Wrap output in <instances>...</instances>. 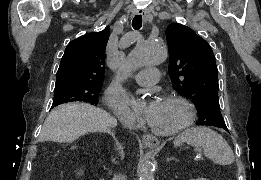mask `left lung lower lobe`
I'll return each mask as SVG.
<instances>
[{"instance_id":"1","label":"left lung lower lobe","mask_w":261,"mask_h":180,"mask_svg":"<svg viewBox=\"0 0 261 180\" xmlns=\"http://www.w3.org/2000/svg\"><path fill=\"white\" fill-rule=\"evenodd\" d=\"M223 129H225L226 131H228L227 127H224Z\"/></svg>"}]
</instances>
